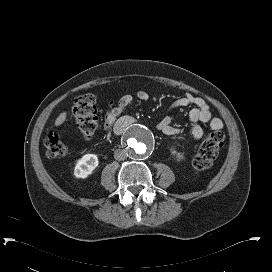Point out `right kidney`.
Wrapping results in <instances>:
<instances>
[{
	"label": "right kidney",
	"instance_id": "right-kidney-1",
	"mask_svg": "<svg viewBox=\"0 0 272 272\" xmlns=\"http://www.w3.org/2000/svg\"><path fill=\"white\" fill-rule=\"evenodd\" d=\"M99 165L98 157L95 154H85L77 160L74 167V176L76 178H87Z\"/></svg>",
	"mask_w": 272,
	"mask_h": 272
}]
</instances>
